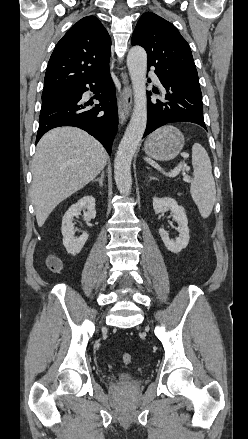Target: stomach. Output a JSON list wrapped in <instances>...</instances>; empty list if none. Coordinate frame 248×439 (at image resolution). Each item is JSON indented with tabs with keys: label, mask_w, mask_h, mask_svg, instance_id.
Listing matches in <instances>:
<instances>
[{
	"label": "stomach",
	"mask_w": 248,
	"mask_h": 439,
	"mask_svg": "<svg viewBox=\"0 0 248 439\" xmlns=\"http://www.w3.org/2000/svg\"><path fill=\"white\" fill-rule=\"evenodd\" d=\"M185 143L184 135L174 126L167 125L152 133L144 143L145 153L158 161L174 159Z\"/></svg>",
	"instance_id": "stomach-1"
}]
</instances>
